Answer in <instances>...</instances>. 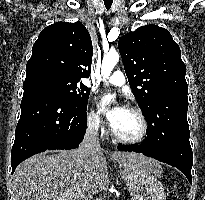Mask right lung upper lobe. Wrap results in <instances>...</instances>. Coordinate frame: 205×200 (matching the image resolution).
I'll use <instances>...</instances> for the list:
<instances>
[{
	"label": "right lung upper lobe",
	"mask_w": 205,
	"mask_h": 200,
	"mask_svg": "<svg viewBox=\"0 0 205 200\" xmlns=\"http://www.w3.org/2000/svg\"><path fill=\"white\" fill-rule=\"evenodd\" d=\"M92 55V40L81 22L54 23L42 30L34 43L25 80L57 74L80 81L90 75Z\"/></svg>",
	"instance_id": "cb5924a9"
}]
</instances>
